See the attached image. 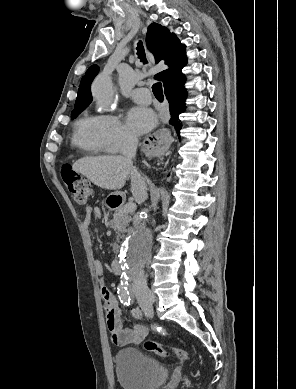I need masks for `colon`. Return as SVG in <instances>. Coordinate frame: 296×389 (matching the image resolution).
<instances>
[{"label": "colon", "instance_id": "obj_1", "mask_svg": "<svg viewBox=\"0 0 296 389\" xmlns=\"http://www.w3.org/2000/svg\"><path fill=\"white\" fill-rule=\"evenodd\" d=\"M61 177L66 187L72 194L74 200L79 204H85L90 195L89 184L84 177L79 175L70 165H63L61 168ZM146 350L157 354L160 357H166L173 354L181 361H187L189 355L182 349L172 348L168 349L163 345L148 340L144 343Z\"/></svg>", "mask_w": 296, "mask_h": 389}]
</instances>
